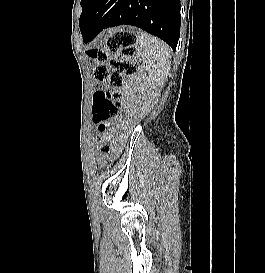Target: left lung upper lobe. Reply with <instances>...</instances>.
I'll return each instance as SVG.
<instances>
[{
	"instance_id": "5c2ea615",
	"label": "left lung upper lobe",
	"mask_w": 265,
	"mask_h": 273,
	"mask_svg": "<svg viewBox=\"0 0 265 273\" xmlns=\"http://www.w3.org/2000/svg\"><path fill=\"white\" fill-rule=\"evenodd\" d=\"M89 1H90V0H81L82 13H81V16H80V24H81V22H82V19H83L84 14H85V13L87 12V10H88Z\"/></svg>"
}]
</instances>
